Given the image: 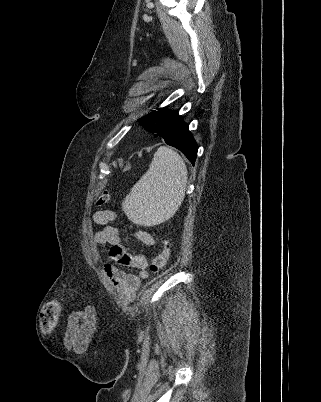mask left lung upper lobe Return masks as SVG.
<instances>
[{
    "label": "left lung upper lobe",
    "instance_id": "obj_1",
    "mask_svg": "<svg viewBox=\"0 0 321 402\" xmlns=\"http://www.w3.org/2000/svg\"><path fill=\"white\" fill-rule=\"evenodd\" d=\"M159 111L152 113L138 119V122L149 132L156 133V122L158 119Z\"/></svg>",
    "mask_w": 321,
    "mask_h": 402
}]
</instances>
